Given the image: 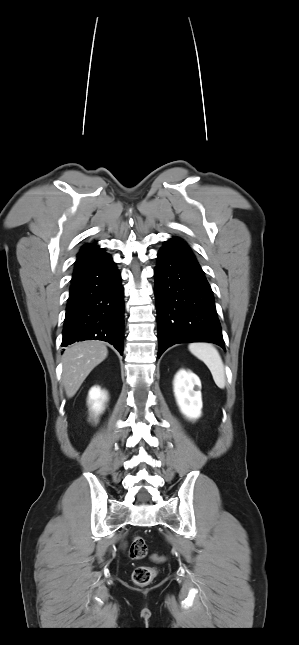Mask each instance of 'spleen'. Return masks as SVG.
I'll return each mask as SVG.
<instances>
[{"mask_svg": "<svg viewBox=\"0 0 299 645\" xmlns=\"http://www.w3.org/2000/svg\"><path fill=\"white\" fill-rule=\"evenodd\" d=\"M190 352L203 361L209 368L215 384L225 388V369L219 352L209 343H192L189 345Z\"/></svg>", "mask_w": 299, "mask_h": 645, "instance_id": "3e777b00", "label": "spleen"}]
</instances>
